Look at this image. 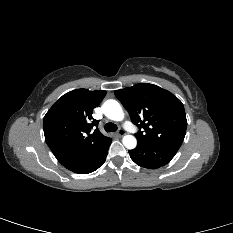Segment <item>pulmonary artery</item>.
I'll return each mask as SVG.
<instances>
[{
    "label": "pulmonary artery",
    "instance_id": "1",
    "mask_svg": "<svg viewBox=\"0 0 233 233\" xmlns=\"http://www.w3.org/2000/svg\"><path fill=\"white\" fill-rule=\"evenodd\" d=\"M125 127H126L129 131H131V132L134 131L133 126H132L129 122H125Z\"/></svg>",
    "mask_w": 233,
    "mask_h": 233
}]
</instances>
